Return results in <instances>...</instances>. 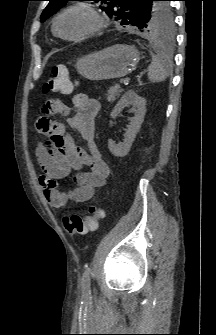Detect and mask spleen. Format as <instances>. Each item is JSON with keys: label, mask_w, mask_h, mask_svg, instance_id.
<instances>
[{"label": "spleen", "mask_w": 216, "mask_h": 335, "mask_svg": "<svg viewBox=\"0 0 216 335\" xmlns=\"http://www.w3.org/2000/svg\"><path fill=\"white\" fill-rule=\"evenodd\" d=\"M152 54V62L148 67V78L152 82L164 81L170 73L171 63L162 51Z\"/></svg>", "instance_id": "3e777b00"}]
</instances>
